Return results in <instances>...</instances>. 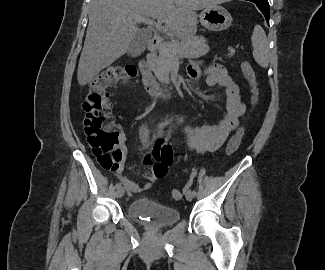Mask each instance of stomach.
<instances>
[{"instance_id": "1", "label": "stomach", "mask_w": 325, "mask_h": 270, "mask_svg": "<svg viewBox=\"0 0 325 270\" xmlns=\"http://www.w3.org/2000/svg\"><path fill=\"white\" fill-rule=\"evenodd\" d=\"M201 24L211 31H221L230 27L232 17L220 6H207L200 13Z\"/></svg>"}]
</instances>
